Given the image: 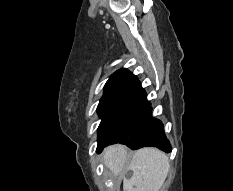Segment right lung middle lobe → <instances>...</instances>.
Returning <instances> with one entry per match:
<instances>
[{"instance_id": "obj_1", "label": "right lung middle lobe", "mask_w": 233, "mask_h": 191, "mask_svg": "<svg viewBox=\"0 0 233 191\" xmlns=\"http://www.w3.org/2000/svg\"><path fill=\"white\" fill-rule=\"evenodd\" d=\"M127 103L126 95L99 102L97 112L101 118V123L98 127V140L115 123L126 108Z\"/></svg>"}]
</instances>
